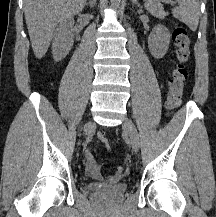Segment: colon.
Instances as JSON below:
<instances>
[{
    "label": "colon",
    "instance_id": "obj_1",
    "mask_svg": "<svg viewBox=\"0 0 216 217\" xmlns=\"http://www.w3.org/2000/svg\"><path fill=\"white\" fill-rule=\"evenodd\" d=\"M173 41L177 62L172 70L168 84L167 105L170 109H175L180 105L185 81L188 76L186 64L190 57V36L187 29L183 26H177L173 31ZM97 139L104 146H108L110 143L107 133L103 130L97 133ZM123 175L124 168L120 166L116 169V176L121 177Z\"/></svg>",
    "mask_w": 216,
    "mask_h": 217
}]
</instances>
